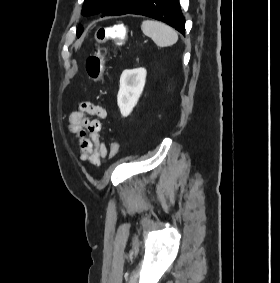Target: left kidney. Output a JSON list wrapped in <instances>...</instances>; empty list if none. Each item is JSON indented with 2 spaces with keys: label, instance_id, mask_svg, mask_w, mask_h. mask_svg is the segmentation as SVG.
<instances>
[{
  "label": "left kidney",
  "instance_id": "left-kidney-1",
  "mask_svg": "<svg viewBox=\"0 0 280 283\" xmlns=\"http://www.w3.org/2000/svg\"><path fill=\"white\" fill-rule=\"evenodd\" d=\"M146 69L124 70L120 77L117 103L123 117H127L136 106L145 86Z\"/></svg>",
  "mask_w": 280,
  "mask_h": 283
}]
</instances>
